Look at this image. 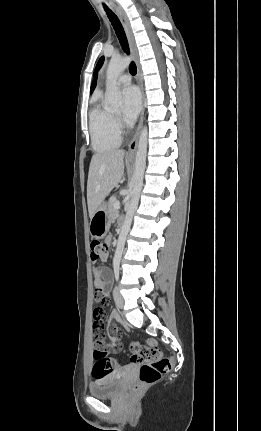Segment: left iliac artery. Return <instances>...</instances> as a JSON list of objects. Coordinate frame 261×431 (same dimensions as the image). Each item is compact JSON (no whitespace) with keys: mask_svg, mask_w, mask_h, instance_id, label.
<instances>
[{"mask_svg":"<svg viewBox=\"0 0 261 431\" xmlns=\"http://www.w3.org/2000/svg\"><path fill=\"white\" fill-rule=\"evenodd\" d=\"M114 273H115L116 281H118V279H119V268H115Z\"/></svg>","mask_w":261,"mask_h":431,"instance_id":"44dca946","label":"left iliac artery"}]
</instances>
